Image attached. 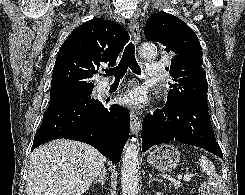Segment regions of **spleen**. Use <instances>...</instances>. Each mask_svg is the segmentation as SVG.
Wrapping results in <instances>:
<instances>
[{
	"mask_svg": "<svg viewBox=\"0 0 245 195\" xmlns=\"http://www.w3.org/2000/svg\"><path fill=\"white\" fill-rule=\"evenodd\" d=\"M199 165L203 172L207 173V175L215 177L216 176V169L214 164L208 160L206 156H201L199 159Z\"/></svg>",
	"mask_w": 245,
	"mask_h": 195,
	"instance_id": "obj_1",
	"label": "spleen"
}]
</instances>
